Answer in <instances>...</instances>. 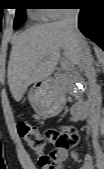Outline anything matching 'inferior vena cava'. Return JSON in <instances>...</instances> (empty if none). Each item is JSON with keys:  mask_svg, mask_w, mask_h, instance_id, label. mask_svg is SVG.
I'll use <instances>...</instances> for the list:
<instances>
[{"mask_svg": "<svg viewBox=\"0 0 104 169\" xmlns=\"http://www.w3.org/2000/svg\"><path fill=\"white\" fill-rule=\"evenodd\" d=\"M79 9H66L63 24L71 32L76 40L80 51V64L89 83V126L92 134V142L98 146V131L102 112V97L98 85L96 84V73L93 66L91 50L84 37L78 30Z\"/></svg>", "mask_w": 104, "mask_h": 169, "instance_id": "obj_1", "label": "inferior vena cava"}]
</instances>
